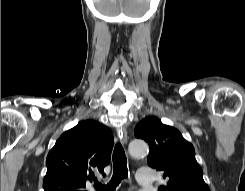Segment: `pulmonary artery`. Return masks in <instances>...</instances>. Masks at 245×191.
<instances>
[{
    "mask_svg": "<svg viewBox=\"0 0 245 191\" xmlns=\"http://www.w3.org/2000/svg\"><path fill=\"white\" fill-rule=\"evenodd\" d=\"M154 174L151 168L149 167H143L139 168L137 171V182L141 186H149L154 181Z\"/></svg>",
    "mask_w": 245,
    "mask_h": 191,
    "instance_id": "obj_1",
    "label": "pulmonary artery"
}]
</instances>
